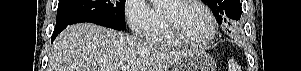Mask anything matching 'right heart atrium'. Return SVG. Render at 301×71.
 Listing matches in <instances>:
<instances>
[{"mask_svg":"<svg viewBox=\"0 0 301 71\" xmlns=\"http://www.w3.org/2000/svg\"><path fill=\"white\" fill-rule=\"evenodd\" d=\"M125 18L131 31L140 37L146 36L155 21V10L146 0H128Z\"/></svg>","mask_w":301,"mask_h":71,"instance_id":"obj_1","label":"right heart atrium"}]
</instances>
